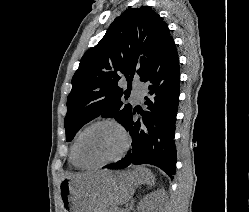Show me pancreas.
Segmentation results:
<instances>
[{"label": "pancreas", "mask_w": 249, "mask_h": 212, "mask_svg": "<svg viewBox=\"0 0 249 212\" xmlns=\"http://www.w3.org/2000/svg\"><path fill=\"white\" fill-rule=\"evenodd\" d=\"M109 212H114V210H112V208H110Z\"/></svg>", "instance_id": "cf45deb5"}]
</instances>
